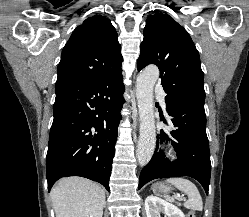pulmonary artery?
Instances as JSON below:
<instances>
[{"label": "pulmonary artery", "instance_id": "1", "mask_svg": "<svg viewBox=\"0 0 249 217\" xmlns=\"http://www.w3.org/2000/svg\"><path fill=\"white\" fill-rule=\"evenodd\" d=\"M154 92H155L156 96L159 97L162 106L165 107V99H164L165 93H164L163 89L161 88V86L157 85L154 88Z\"/></svg>", "mask_w": 249, "mask_h": 217}]
</instances>
